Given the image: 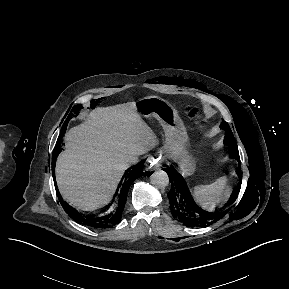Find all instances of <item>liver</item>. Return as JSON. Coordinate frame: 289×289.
I'll return each mask as SVG.
<instances>
[{"label":"liver","mask_w":289,"mask_h":289,"mask_svg":"<svg viewBox=\"0 0 289 289\" xmlns=\"http://www.w3.org/2000/svg\"><path fill=\"white\" fill-rule=\"evenodd\" d=\"M66 150L56 161V182L63 199L93 211L107 204L129 167V160L156 145L136 103L98 108L65 135Z\"/></svg>","instance_id":"obj_1"}]
</instances>
